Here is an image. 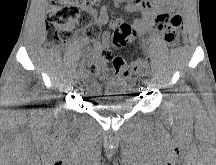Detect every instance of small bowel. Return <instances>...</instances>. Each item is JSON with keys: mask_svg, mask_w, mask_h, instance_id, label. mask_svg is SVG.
<instances>
[{"mask_svg": "<svg viewBox=\"0 0 216 165\" xmlns=\"http://www.w3.org/2000/svg\"><path fill=\"white\" fill-rule=\"evenodd\" d=\"M115 5L126 3L125 9L129 12H140L142 18L133 22L132 28L135 30L134 38L144 34L152 25L154 19L167 13L170 9H176L180 6L181 0H113ZM90 14L94 17V22L99 26L109 23L108 10L106 7H101L99 10L90 9ZM122 23V20L110 22L112 27H116ZM110 44V32L105 31L102 35L101 41L94 44V51L99 53L105 50ZM124 76L128 74L119 73Z\"/></svg>", "mask_w": 216, "mask_h": 165, "instance_id": "1", "label": "small bowel"}]
</instances>
